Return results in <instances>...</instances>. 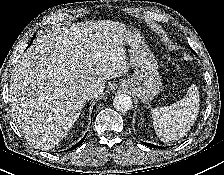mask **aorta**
Returning a JSON list of instances; mask_svg holds the SVG:
<instances>
[{
    "instance_id": "aorta-1",
    "label": "aorta",
    "mask_w": 224,
    "mask_h": 175,
    "mask_svg": "<svg viewBox=\"0 0 224 175\" xmlns=\"http://www.w3.org/2000/svg\"><path fill=\"white\" fill-rule=\"evenodd\" d=\"M116 110L126 112L132 108V99L126 94H119L113 100Z\"/></svg>"
}]
</instances>
